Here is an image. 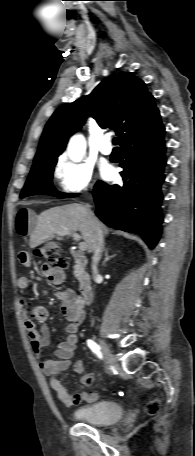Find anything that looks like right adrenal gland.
I'll return each instance as SVG.
<instances>
[{
  "label": "right adrenal gland",
  "instance_id": "2a0ac1e0",
  "mask_svg": "<svg viewBox=\"0 0 195 456\" xmlns=\"http://www.w3.org/2000/svg\"><path fill=\"white\" fill-rule=\"evenodd\" d=\"M115 255H111L109 256L108 254V248L105 249V259L103 261V263H106L107 261H109L111 258H113Z\"/></svg>",
  "mask_w": 195,
  "mask_h": 456
}]
</instances>
